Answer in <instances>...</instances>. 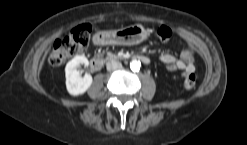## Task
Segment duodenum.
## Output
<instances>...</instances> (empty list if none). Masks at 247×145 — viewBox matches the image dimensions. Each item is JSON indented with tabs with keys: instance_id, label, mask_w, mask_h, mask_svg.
I'll list each match as a JSON object with an SVG mask.
<instances>
[{
	"instance_id": "duodenum-1",
	"label": "duodenum",
	"mask_w": 247,
	"mask_h": 145,
	"mask_svg": "<svg viewBox=\"0 0 247 145\" xmlns=\"http://www.w3.org/2000/svg\"><path fill=\"white\" fill-rule=\"evenodd\" d=\"M94 42L96 44H101V40L98 39V38H95L94 39ZM132 57L134 59H137L145 64H149L150 63V59L146 56V55H143V54H139V53H135L132 55ZM103 66V63H102V60L99 59V58H93L90 60V68L93 70V71H99Z\"/></svg>"
}]
</instances>
